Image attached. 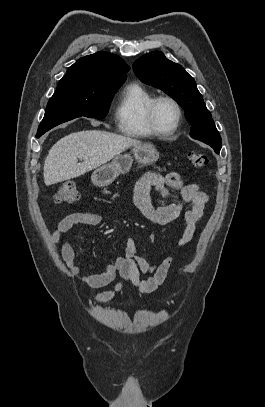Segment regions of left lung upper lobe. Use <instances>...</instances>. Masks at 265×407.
Returning <instances> with one entry per match:
<instances>
[{"instance_id":"1","label":"left lung upper lobe","mask_w":265,"mask_h":407,"mask_svg":"<svg viewBox=\"0 0 265 407\" xmlns=\"http://www.w3.org/2000/svg\"><path fill=\"white\" fill-rule=\"evenodd\" d=\"M133 68L143 83L163 90L185 110V117L192 125V138L221 149L222 140L211 113L194 79L181 65L168 60L162 52L155 51L137 59Z\"/></svg>"}]
</instances>
